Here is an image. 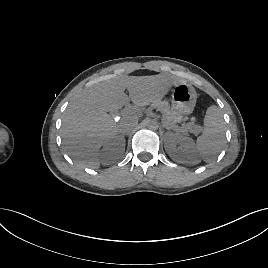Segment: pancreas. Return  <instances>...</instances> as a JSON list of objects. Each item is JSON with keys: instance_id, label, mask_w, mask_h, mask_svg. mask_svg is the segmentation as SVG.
<instances>
[{"instance_id": "pancreas-1", "label": "pancreas", "mask_w": 268, "mask_h": 268, "mask_svg": "<svg viewBox=\"0 0 268 268\" xmlns=\"http://www.w3.org/2000/svg\"><path fill=\"white\" fill-rule=\"evenodd\" d=\"M154 106L162 113L163 115V122L166 124L169 128L174 129L176 131H186L191 130L194 126V124L188 123L185 125V127L180 128L177 126V123L182 122V116L178 114L177 112L173 111L168 102L166 101H158L154 104Z\"/></svg>"}]
</instances>
